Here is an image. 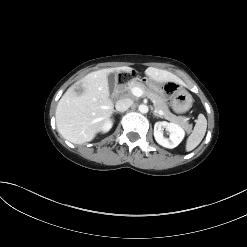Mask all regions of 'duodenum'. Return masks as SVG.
<instances>
[{"label":"duodenum","instance_id":"obj_1","mask_svg":"<svg viewBox=\"0 0 247 247\" xmlns=\"http://www.w3.org/2000/svg\"><path fill=\"white\" fill-rule=\"evenodd\" d=\"M129 80L131 82H134V83H137L138 82V83H144L145 85H148L149 84V81L148 80H145L144 78H138V77L132 76ZM130 83H129V85H130Z\"/></svg>","mask_w":247,"mask_h":247}]
</instances>
